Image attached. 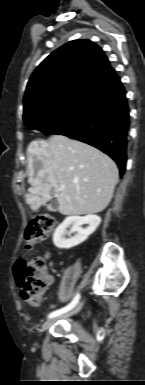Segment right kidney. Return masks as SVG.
I'll return each instance as SVG.
<instances>
[{"instance_id":"right-kidney-1","label":"right kidney","mask_w":145,"mask_h":385,"mask_svg":"<svg viewBox=\"0 0 145 385\" xmlns=\"http://www.w3.org/2000/svg\"><path fill=\"white\" fill-rule=\"evenodd\" d=\"M101 218L97 215L69 216L55 230L53 234V243L59 249H70L84 242L99 226ZM88 224V227L82 228V225ZM71 226V233L76 235L66 238L67 228Z\"/></svg>"}]
</instances>
